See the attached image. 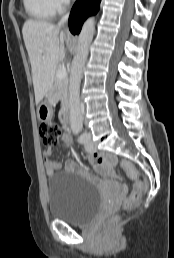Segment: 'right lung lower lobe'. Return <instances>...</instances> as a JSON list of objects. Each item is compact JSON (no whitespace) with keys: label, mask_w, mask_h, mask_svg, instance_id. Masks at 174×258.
Wrapping results in <instances>:
<instances>
[{"label":"right lung lower lobe","mask_w":174,"mask_h":258,"mask_svg":"<svg viewBox=\"0 0 174 258\" xmlns=\"http://www.w3.org/2000/svg\"><path fill=\"white\" fill-rule=\"evenodd\" d=\"M101 0H77L72 7L69 18V29L75 35L79 34L82 24L90 15H94L100 8Z\"/></svg>","instance_id":"right-lung-lower-lobe-1"}]
</instances>
